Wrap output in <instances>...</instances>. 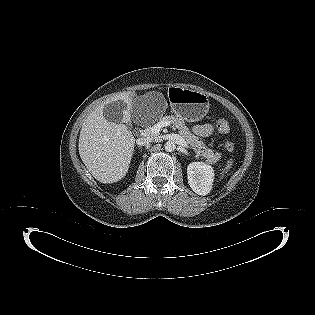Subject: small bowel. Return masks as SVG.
<instances>
[{"label": "small bowel", "instance_id": "obj_1", "mask_svg": "<svg viewBox=\"0 0 315 315\" xmlns=\"http://www.w3.org/2000/svg\"><path fill=\"white\" fill-rule=\"evenodd\" d=\"M193 130L197 135L206 137L212 134L214 127L211 124H202V125H195Z\"/></svg>", "mask_w": 315, "mask_h": 315}]
</instances>
